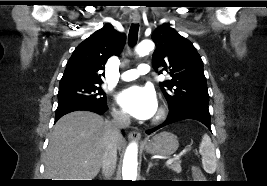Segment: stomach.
I'll use <instances>...</instances> for the list:
<instances>
[{
  "mask_svg": "<svg viewBox=\"0 0 267 186\" xmlns=\"http://www.w3.org/2000/svg\"><path fill=\"white\" fill-rule=\"evenodd\" d=\"M177 136L170 132H161L154 135L144 143L147 153L157 155H172L178 149Z\"/></svg>",
  "mask_w": 267,
  "mask_h": 186,
  "instance_id": "1",
  "label": "stomach"
}]
</instances>
